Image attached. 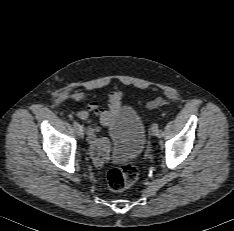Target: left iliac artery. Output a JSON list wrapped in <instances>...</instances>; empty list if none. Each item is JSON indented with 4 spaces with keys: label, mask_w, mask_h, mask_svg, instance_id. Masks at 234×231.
<instances>
[{
    "label": "left iliac artery",
    "mask_w": 234,
    "mask_h": 231,
    "mask_svg": "<svg viewBox=\"0 0 234 231\" xmlns=\"http://www.w3.org/2000/svg\"><path fill=\"white\" fill-rule=\"evenodd\" d=\"M164 135V132L162 129H158V136L162 137Z\"/></svg>",
    "instance_id": "1"
}]
</instances>
